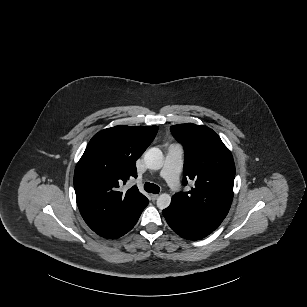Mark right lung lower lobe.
Segmentation results:
<instances>
[{"label":"right lung lower lobe","instance_id":"obj_1","mask_svg":"<svg viewBox=\"0 0 307 307\" xmlns=\"http://www.w3.org/2000/svg\"><path fill=\"white\" fill-rule=\"evenodd\" d=\"M148 203L149 201L146 199L142 204L130 211L122 220L96 233L104 238L121 237L134 227L143 209L148 205Z\"/></svg>","mask_w":307,"mask_h":307}]
</instances>
